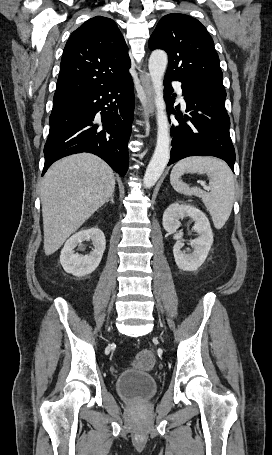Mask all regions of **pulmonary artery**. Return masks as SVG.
<instances>
[{
    "instance_id": "obj_1",
    "label": "pulmonary artery",
    "mask_w": 272,
    "mask_h": 455,
    "mask_svg": "<svg viewBox=\"0 0 272 455\" xmlns=\"http://www.w3.org/2000/svg\"><path fill=\"white\" fill-rule=\"evenodd\" d=\"M173 84H174V86H175V88H176V91L179 93V95H181V96H182V89H181V85H180V83H179V82H176V81H174V82H173Z\"/></svg>"
}]
</instances>
